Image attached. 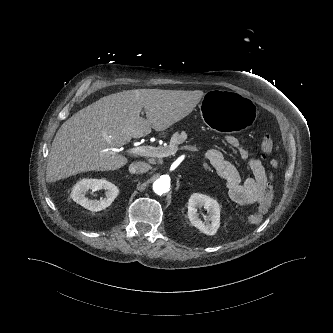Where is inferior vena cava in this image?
<instances>
[{"label": "inferior vena cava", "instance_id": "inferior-vena-cava-1", "mask_svg": "<svg viewBox=\"0 0 333 333\" xmlns=\"http://www.w3.org/2000/svg\"><path fill=\"white\" fill-rule=\"evenodd\" d=\"M151 166L148 163L136 161L132 162L129 166V171L131 173H145L147 172Z\"/></svg>", "mask_w": 333, "mask_h": 333}]
</instances>
